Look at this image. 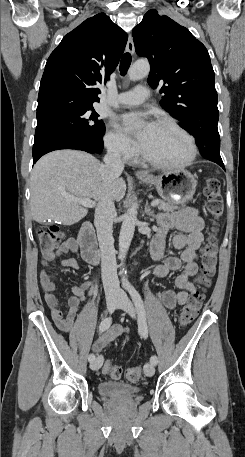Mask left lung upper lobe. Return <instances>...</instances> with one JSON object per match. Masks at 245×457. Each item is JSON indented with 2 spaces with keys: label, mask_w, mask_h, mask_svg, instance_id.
I'll return each mask as SVG.
<instances>
[{
  "label": "left lung upper lobe",
  "mask_w": 245,
  "mask_h": 457,
  "mask_svg": "<svg viewBox=\"0 0 245 457\" xmlns=\"http://www.w3.org/2000/svg\"><path fill=\"white\" fill-rule=\"evenodd\" d=\"M136 52L147 57L152 88L163 84L160 105L182 122V128L218 121L215 74L205 46L188 29L149 10L132 31Z\"/></svg>",
  "instance_id": "left-lung-upper-lobe-1"
}]
</instances>
